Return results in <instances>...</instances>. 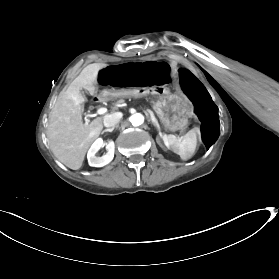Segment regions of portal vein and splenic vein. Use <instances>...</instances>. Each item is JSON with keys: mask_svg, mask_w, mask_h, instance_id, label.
Here are the masks:
<instances>
[{"mask_svg": "<svg viewBox=\"0 0 279 279\" xmlns=\"http://www.w3.org/2000/svg\"><path fill=\"white\" fill-rule=\"evenodd\" d=\"M95 113L96 115H102L106 113V108H98Z\"/></svg>", "mask_w": 279, "mask_h": 279, "instance_id": "18ae733b", "label": "portal vein and splenic vein"}]
</instances>
